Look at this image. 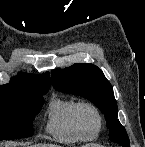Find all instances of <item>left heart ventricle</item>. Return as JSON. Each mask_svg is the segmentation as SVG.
Here are the masks:
<instances>
[{"instance_id":"left-heart-ventricle-1","label":"left heart ventricle","mask_w":145,"mask_h":147,"mask_svg":"<svg viewBox=\"0 0 145 147\" xmlns=\"http://www.w3.org/2000/svg\"><path fill=\"white\" fill-rule=\"evenodd\" d=\"M87 119H88V123H89V126H90V131H94V119H93V117L92 116H88L87 117Z\"/></svg>"}]
</instances>
